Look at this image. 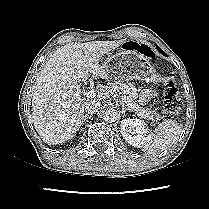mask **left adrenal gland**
<instances>
[{"label": "left adrenal gland", "instance_id": "left-adrenal-gland-1", "mask_svg": "<svg viewBox=\"0 0 209 209\" xmlns=\"http://www.w3.org/2000/svg\"><path fill=\"white\" fill-rule=\"evenodd\" d=\"M126 110H129L124 103H122V114L126 112Z\"/></svg>", "mask_w": 209, "mask_h": 209}]
</instances>
